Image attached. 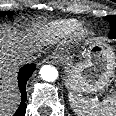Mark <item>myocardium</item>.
<instances>
[{"label":"myocardium","mask_w":116,"mask_h":116,"mask_svg":"<svg viewBox=\"0 0 116 116\" xmlns=\"http://www.w3.org/2000/svg\"><path fill=\"white\" fill-rule=\"evenodd\" d=\"M88 34V30L85 27H78L74 32H73V39L76 42H80L86 38Z\"/></svg>","instance_id":"1"}]
</instances>
